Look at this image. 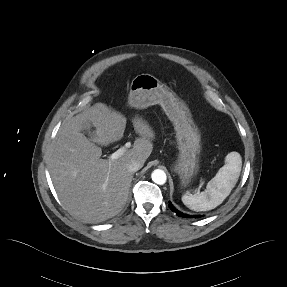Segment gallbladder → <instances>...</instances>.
I'll use <instances>...</instances> for the list:
<instances>
[{"label": "gallbladder", "instance_id": "bac80fb5", "mask_svg": "<svg viewBox=\"0 0 287 287\" xmlns=\"http://www.w3.org/2000/svg\"><path fill=\"white\" fill-rule=\"evenodd\" d=\"M82 131H83V133L88 134V135L92 134V125L89 121H86L83 124Z\"/></svg>", "mask_w": 287, "mask_h": 287}]
</instances>
